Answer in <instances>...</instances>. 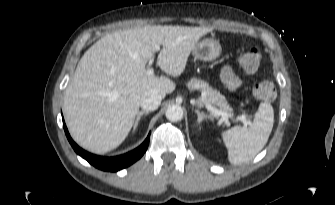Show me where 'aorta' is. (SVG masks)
Wrapping results in <instances>:
<instances>
[{"label":"aorta","mask_w":335,"mask_h":205,"mask_svg":"<svg viewBox=\"0 0 335 205\" xmlns=\"http://www.w3.org/2000/svg\"><path fill=\"white\" fill-rule=\"evenodd\" d=\"M165 115L169 121L177 122L183 118V109L179 105H170L167 108Z\"/></svg>","instance_id":"aorta-1"}]
</instances>
